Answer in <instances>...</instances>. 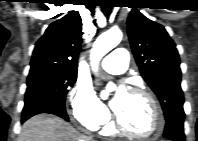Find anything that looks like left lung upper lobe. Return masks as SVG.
Listing matches in <instances>:
<instances>
[{"mask_svg":"<svg viewBox=\"0 0 198 141\" xmlns=\"http://www.w3.org/2000/svg\"><path fill=\"white\" fill-rule=\"evenodd\" d=\"M127 31L141 75L160 100L166 122L174 114L184 115L179 54L165 28L133 9Z\"/></svg>","mask_w":198,"mask_h":141,"instance_id":"1","label":"left lung upper lobe"}]
</instances>
